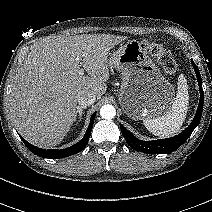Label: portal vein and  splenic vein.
<instances>
[{"label":"portal vein and splenic vein","instance_id":"18ae733b","mask_svg":"<svg viewBox=\"0 0 212 212\" xmlns=\"http://www.w3.org/2000/svg\"><path fill=\"white\" fill-rule=\"evenodd\" d=\"M77 60H81V57L78 56V57H77ZM79 74H80V75H83V74H84V69H80Z\"/></svg>","mask_w":212,"mask_h":212}]
</instances>
